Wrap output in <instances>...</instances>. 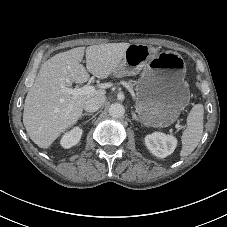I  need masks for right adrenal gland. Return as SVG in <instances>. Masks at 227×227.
Listing matches in <instances>:
<instances>
[{
	"mask_svg": "<svg viewBox=\"0 0 227 227\" xmlns=\"http://www.w3.org/2000/svg\"><path fill=\"white\" fill-rule=\"evenodd\" d=\"M84 116H92V117H94V115L92 113H83L81 115V118L84 117Z\"/></svg>",
	"mask_w": 227,
	"mask_h": 227,
	"instance_id": "obj_1",
	"label": "right adrenal gland"
}]
</instances>
